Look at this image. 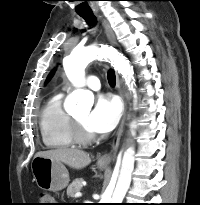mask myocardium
<instances>
[{"label":"myocardium","mask_w":200,"mask_h":205,"mask_svg":"<svg viewBox=\"0 0 200 205\" xmlns=\"http://www.w3.org/2000/svg\"><path fill=\"white\" fill-rule=\"evenodd\" d=\"M70 126L74 142L86 145L95 141L96 137L93 134L87 133L74 117H70Z\"/></svg>","instance_id":"f54148a6"}]
</instances>
